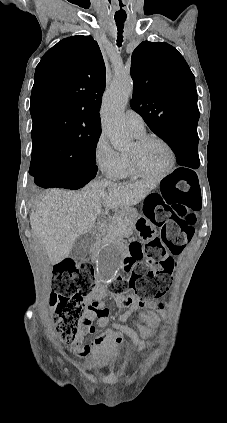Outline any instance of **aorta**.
Segmentation results:
<instances>
[{
  "mask_svg": "<svg viewBox=\"0 0 227 423\" xmlns=\"http://www.w3.org/2000/svg\"><path fill=\"white\" fill-rule=\"evenodd\" d=\"M133 90L130 76H116L104 94L100 116L102 129L116 149L127 148L131 137L124 123V110ZM122 256L118 246H104L97 257L96 273L104 281L113 280L119 272Z\"/></svg>",
  "mask_w": 227,
  "mask_h": 423,
  "instance_id": "aorta-1",
  "label": "aorta"
}]
</instances>
